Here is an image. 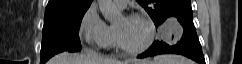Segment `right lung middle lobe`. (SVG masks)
Instances as JSON below:
<instances>
[{"label":"right lung middle lobe","instance_id":"obj_1","mask_svg":"<svg viewBox=\"0 0 242 64\" xmlns=\"http://www.w3.org/2000/svg\"><path fill=\"white\" fill-rule=\"evenodd\" d=\"M85 12L44 17L40 64L57 53L81 50L78 32Z\"/></svg>","mask_w":242,"mask_h":64}]
</instances>
